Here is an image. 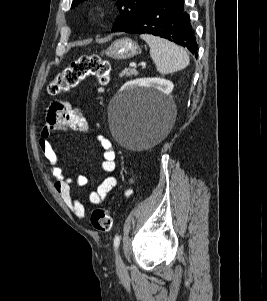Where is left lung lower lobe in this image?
Wrapping results in <instances>:
<instances>
[{"mask_svg": "<svg viewBox=\"0 0 267 301\" xmlns=\"http://www.w3.org/2000/svg\"><path fill=\"white\" fill-rule=\"evenodd\" d=\"M118 31L160 36L186 47L197 57L198 45L184 0H152Z\"/></svg>", "mask_w": 267, "mask_h": 301, "instance_id": "left-lung-lower-lobe-1", "label": "left lung lower lobe"}]
</instances>
